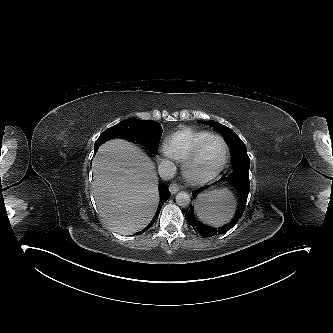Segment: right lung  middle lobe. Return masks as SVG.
I'll return each mask as SVG.
<instances>
[{
  "label": "right lung middle lobe",
  "mask_w": 333,
  "mask_h": 333,
  "mask_svg": "<svg viewBox=\"0 0 333 333\" xmlns=\"http://www.w3.org/2000/svg\"><path fill=\"white\" fill-rule=\"evenodd\" d=\"M128 140L136 141L149 151L157 154L162 127L156 121L126 119L105 130Z\"/></svg>",
  "instance_id": "dd1d6c3e"
}]
</instances>
